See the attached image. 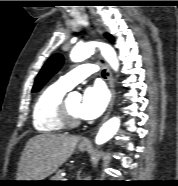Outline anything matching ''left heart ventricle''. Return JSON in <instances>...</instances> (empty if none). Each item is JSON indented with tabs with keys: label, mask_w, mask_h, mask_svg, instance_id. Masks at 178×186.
Segmentation results:
<instances>
[{
	"label": "left heart ventricle",
	"mask_w": 178,
	"mask_h": 186,
	"mask_svg": "<svg viewBox=\"0 0 178 186\" xmlns=\"http://www.w3.org/2000/svg\"><path fill=\"white\" fill-rule=\"evenodd\" d=\"M67 106L70 111V113L77 118L79 117V106H80V100H68L67 101Z\"/></svg>",
	"instance_id": "1"
}]
</instances>
